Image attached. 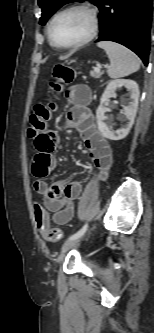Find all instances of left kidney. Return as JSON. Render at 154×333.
<instances>
[{"label": "left kidney", "mask_w": 154, "mask_h": 333, "mask_svg": "<svg viewBox=\"0 0 154 333\" xmlns=\"http://www.w3.org/2000/svg\"><path fill=\"white\" fill-rule=\"evenodd\" d=\"M123 86L131 93L130 102L128 105L123 106V114L127 122L121 128L114 130L112 118L105 115L106 111L103 107V104L108 102L111 97L115 96V90L117 88ZM139 95L140 92L138 84L133 80L117 79L108 83L104 93L102 94L100 105L96 110L98 129L105 138L117 141L125 138L128 135L134 124V119L138 108Z\"/></svg>", "instance_id": "5707ae66"}]
</instances>
